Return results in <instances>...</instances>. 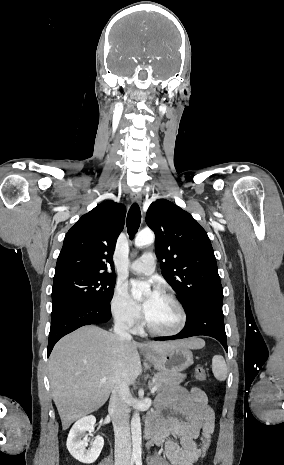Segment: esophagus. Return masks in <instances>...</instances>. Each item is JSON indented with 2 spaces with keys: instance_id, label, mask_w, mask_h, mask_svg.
I'll return each instance as SVG.
<instances>
[{
  "instance_id": "obj_1",
  "label": "esophagus",
  "mask_w": 284,
  "mask_h": 465,
  "mask_svg": "<svg viewBox=\"0 0 284 465\" xmlns=\"http://www.w3.org/2000/svg\"><path fill=\"white\" fill-rule=\"evenodd\" d=\"M130 198H131V201L132 202H135V203H140L141 202V193L139 192H131L130 194Z\"/></svg>"
}]
</instances>
